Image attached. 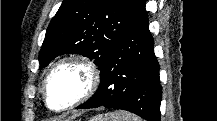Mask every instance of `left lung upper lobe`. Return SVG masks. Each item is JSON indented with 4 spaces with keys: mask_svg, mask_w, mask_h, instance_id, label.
I'll return each instance as SVG.
<instances>
[{
    "mask_svg": "<svg viewBox=\"0 0 217 121\" xmlns=\"http://www.w3.org/2000/svg\"><path fill=\"white\" fill-rule=\"evenodd\" d=\"M143 0H63L39 53L40 67L59 55L79 53L100 69Z\"/></svg>",
    "mask_w": 217,
    "mask_h": 121,
    "instance_id": "1",
    "label": "left lung upper lobe"
}]
</instances>
